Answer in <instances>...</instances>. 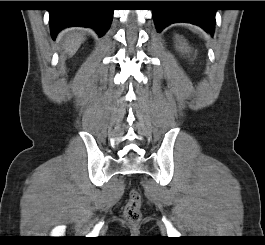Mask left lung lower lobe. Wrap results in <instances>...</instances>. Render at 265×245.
<instances>
[{"label":"left lung lower lobe","instance_id":"obj_1","mask_svg":"<svg viewBox=\"0 0 265 245\" xmlns=\"http://www.w3.org/2000/svg\"><path fill=\"white\" fill-rule=\"evenodd\" d=\"M199 1H170L169 8L153 10V19L158 32L176 22H187L202 27L211 35L215 27V9L193 8Z\"/></svg>","mask_w":265,"mask_h":245}]
</instances>
